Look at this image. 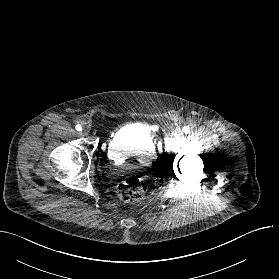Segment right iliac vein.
Returning a JSON list of instances; mask_svg holds the SVG:
<instances>
[{"instance_id": "obj_1", "label": "right iliac vein", "mask_w": 279, "mask_h": 279, "mask_svg": "<svg viewBox=\"0 0 279 279\" xmlns=\"http://www.w3.org/2000/svg\"><path fill=\"white\" fill-rule=\"evenodd\" d=\"M91 127L89 125L85 126L83 129V134L87 135L90 132Z\"/></svg>"}]
</instances>
